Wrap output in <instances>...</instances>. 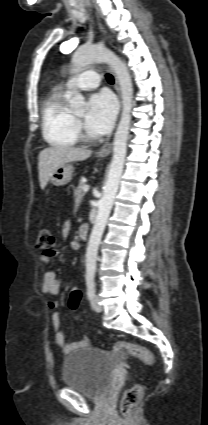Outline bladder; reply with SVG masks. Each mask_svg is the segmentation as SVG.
Here are the masks:
<instances>
[{
	"label": "bladder",
	"instance_id": "obj_1",
	"mask_svg": "<svg viewBox=\"0 0 208 425\" xmlns=\"http://www.w3.org/2000/svg\"><path fill=\"white\" fill-rule=\"evenodd\" d=\"M115 364V357L106 350L79 348L67 356L62 381L82 396L100 400L113 385Z\"/></svg>",
	"mask_w": 208,
	"mask_h": 425
}]
</instances>
